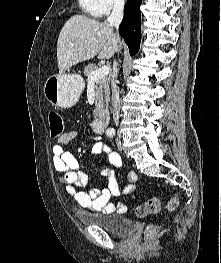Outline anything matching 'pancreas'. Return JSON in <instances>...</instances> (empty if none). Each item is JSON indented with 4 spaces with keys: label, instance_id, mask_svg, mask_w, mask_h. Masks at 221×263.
Listing matches in <instances>:
<instances>
[{
    "label": "pancreas",
    "instance_id": "1",
    "mask_svg": "<svg viewBox=\"0 0 221 263\" xmlns=\"http://www.w3.org/2000/svg\"><path fill=\"white\" fill-rule=\"evenodd\" d=\"M98 70L96 64H89L84 68V75L89 78L91 72ZM109 79L102 77L95 81V109L94 115L99 116L104 112L109 102Z\"/></svg>",
    "mask_w": 221,
    "mask_h": 263
}]
</instances>
